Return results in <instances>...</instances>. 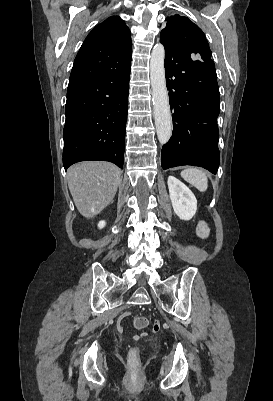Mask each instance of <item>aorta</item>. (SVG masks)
Masks as SVG:
<instances>
[{
  "mask_svg": "<svg viewBox=\"0 0 273 401\" xmlns=\"http://www.w3.org/2000/svg\"><path fill=\"white\" fill-rule=\"evenodd\" d=\"M164 60V46L157 44L151 53L150 79L156 132L158 140L162 145L169 141L173 130L165 80Z\"/></svg>",
  "mask_w": 273,
  "mask_h": 401,
  "instance_id": "aorta-1",
  "label": "aorta"
}]
</instances>
